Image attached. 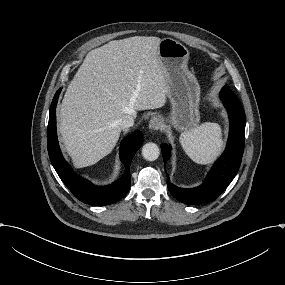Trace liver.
Wrapping results in <instances>:
<instances>
[{
    "mask_svg": "<svg viewBox=\"0 0 285 285\" xmlns=\"http://www.w3.org/2000/svg\"><path fill=\"white\" fill-rule=\"evenodd\" d=\"M161 42L157 37H131L87 55L60 114V132L76 166L93 165L112 151L124 115L166 105L169 86L158 59Z\"/></svg>",
    "mask_w": 285,
    "mask_h": 285,
    "instance_id": "liver-1",
    "label": "liver"
}]
</instances>
